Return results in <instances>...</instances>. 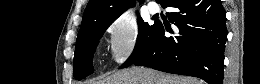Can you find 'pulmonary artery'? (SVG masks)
<instances>
[{"label":"pulmonary artery","mask_w":260,"mask_h":84,"mask_svg":"<svg viewBox=\"0 0 260 84\" xmlns=\"http://www.w3.org/2000/svg\"><path fill=\"white\" fill-rule=\"evenodd\" d=\"M147 8H148V10H149V12H150L151 14H155V13H157L158 10H159V6H158V4L155 3V2H149L148 5H147Z\"/></svg>","instance_id":"pulmonary-artery-1"}]
</instances>
